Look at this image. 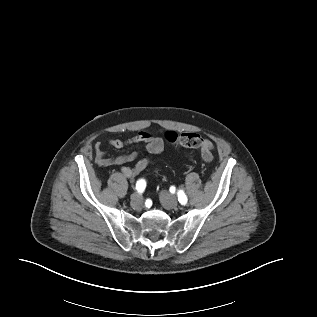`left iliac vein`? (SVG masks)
<instances>
[{
    "mask_svg": "<svg viewBox=\"0 0 317 317\" xmlns=\"http://www.w3.org/2000/svg\"><path fill=\"white\" fill-rule=\"evenodd\" d=\"M159 197L162 205L166 209H173L178 205L177 198L166 190H162Z\"/></svg>",
    "mask_w": 317,
    "mask_h": 317,
    "instance_id": "1",
    "label": "left iliac vein"
}]
</instances>
